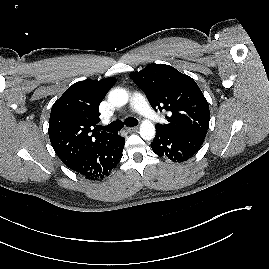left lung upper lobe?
Listing matches in <instances>:
<instances>
[{"mask_svg": "<svg viewBox=\"0 0 269 269\" xmlns=\"http://www.w3.org/2000/svg\"><path fill=\"white\" fill-rule=\"evenodd\" d=\"M129 76L154 109L168 112V122L156 124V129L169 134H207L208 102L191 77L165 64H150Z\"/></svg>", "mask_w": 269, "mask_h": 269, "instance_id": "5c2ea615", "label": "left lung upper lobe"}]
</instances>
